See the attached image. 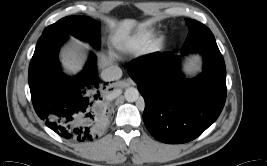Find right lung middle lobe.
I'll return each instance as SVG.
<instances>
[{
    "instance_id": "dd1d6c3e",
    "label": "right lung middle lobe",
    "mask_w": 267,
    "mask_h": 166,
    "mask_svg": "<svg viewBox=\"0 0 267 166\" xmlns=\"http://www.w3.org/2000/svg\"><path fill=\"white\" fill-rule=\"evenodd\" d=\"M56 32L73 35L100 47V23L86 16H68L48 26L43 33Z\"/></svg>"
}]
</instances>
